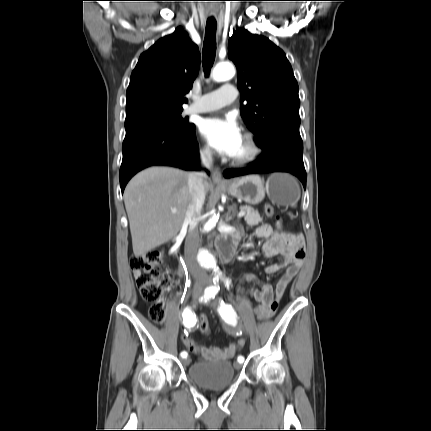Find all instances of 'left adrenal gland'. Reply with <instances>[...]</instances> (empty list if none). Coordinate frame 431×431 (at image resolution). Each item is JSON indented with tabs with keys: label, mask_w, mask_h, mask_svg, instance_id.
Returning <instances> with one entry per match:
<instances>
[{
	"label": "left adrenal gland",
	"mask_w": 431,
	"mask_h": 431,
	"mask_svg": "<svg viewBox=\"0 0 431 431\" xmlns=\"http://www.w3.org/2000/svg\"><path fill=\"white\" fill-rule=\"evenodd\" d=\"M235 210H236V206L234 205L233 216H231L230 219H232L235 216Z\"/></svg>",
	"instance_id": "obj_1"
}]
</instances>
